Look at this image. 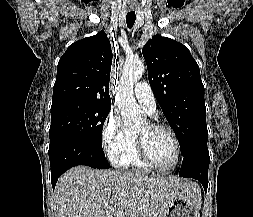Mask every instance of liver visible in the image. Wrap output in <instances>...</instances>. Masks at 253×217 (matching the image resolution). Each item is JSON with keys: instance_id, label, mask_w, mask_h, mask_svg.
Segmentation results:
<instances>
[{"instance_id": "1", "label": "liver", "mask_w": 253, "mask_h": 217, "mask_svg": "<svg viewBox=\"0 0 253 217\" xmlns=\"http://www.w3.org/2000/svg\"><path fill=\"white\" fill-rule=\"evenodd\" d=\"M201 201L196 182L176 176L77 166L64 173L54 190L57 217H161L173 199Z\"/></svg>"}]
</instances>
